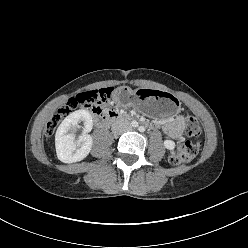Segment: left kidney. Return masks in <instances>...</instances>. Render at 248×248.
I'll return each instance as SVG.
<instances>
[{"mask_svg":"<svg viewBox=\"0 0 248 248\" xmlns=\"http://www.w3.org/2000/svg\"><path fill=\"white\" fill-rule=\"evenodd\" d=\"M164 146H165L166 149H168V150H170L172 153H174V152H173V150H174V148H175V142H174V141H172V140H165V141H164Z\"/></svg>","mask_w":248,"mask_h":248,"instance_id":"1","label":"left kidney"}]
</instances>
